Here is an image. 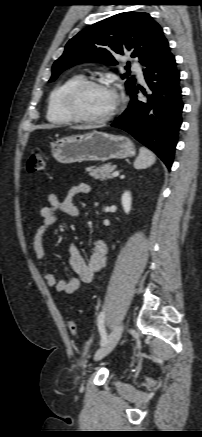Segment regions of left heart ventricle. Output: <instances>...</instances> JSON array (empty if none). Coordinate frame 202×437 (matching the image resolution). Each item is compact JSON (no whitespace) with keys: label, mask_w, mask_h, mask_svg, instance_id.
Here are the masks:
<instances>
[{"label":"left heart ventricle","mask_w":202,"mask_h":437,"mask_svg":"<svg viewBox=\"0 0 202 437\" xmlns=\"http://www.w3.org/2000/svg\"><path fill=\"white\" fill-rule=\"evenodd\" d=\"M117 101L111 89L92 87L83 91L78 99L80 111L89 117H103L111 112Z\"/></svg>","instance_id":"left-heart-ventricle-1"}]
</instances>
